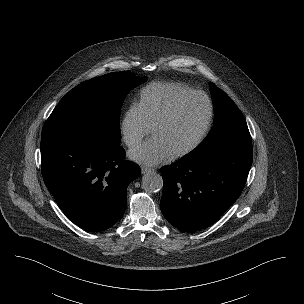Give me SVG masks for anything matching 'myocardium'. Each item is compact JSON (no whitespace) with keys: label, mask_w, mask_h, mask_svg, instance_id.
Here are the masks:
<instances>
[{"label":"myocardium","mask_w":304,"mask_h":304,"mask_svg":"<svg viewBox=\"0 0 304 304\" xmlns=\"http://www.w3.org/2000/svg\"><path fill=\"white\" fill-rule=\"evenodd\" d=\"M193 97H201V98H203L206 101L207 108H208V114H207L206 121L204 123V126H203L201 132L197 136V138L190 145H188L187 147H185L184 149L171 154V158L172 159H179V158H182V157H185V156L191 154L206 139V137H207V135H208V133H209V131L211 129V126H212V123H213V119H214V105H213L212 99L209 97L208 94H206L203 91H198V90L190 91V92H188V93L180 96L179 98H177L168 107V109L155 121V123L151 127V132L153 134L156 131V129H158L160 126H162L163 124H165L167 121H169L172 118V116L175 114V112L178 110V108L186 100H188L190 98H193Z\"/></svg>","instance_id":"myocardium-1"}]
</instances>
